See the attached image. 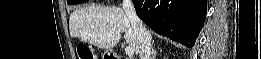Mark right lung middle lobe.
<instances>
[{"label":"right lung middle lobe","mask_w":261,"mask_h":59,"mask_svg":"<svg viewBox=\"0 0 261 59\" xmlns=\"http://www.w3.org/2000/svg\"><path fill=\"white\" fill-rule=\"evenodd\" d=\"M85 0H71L69 2H67L68 4H77V3H81L84 2Z\"/></svg>","instance_id":"1"}]
</instances>
